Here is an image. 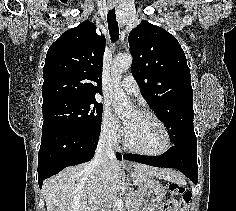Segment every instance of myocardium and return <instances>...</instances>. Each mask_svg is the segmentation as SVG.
<instances>
[{
  "mask_svg": "<svg viewBox=\"0 0 236 211\" xmlns=\"http://www.w3.org/2000/svg\"><path fill=\"white\" fill-rule=\"evenodd\" d=\"M136 112L143 115V116L151 118L153 121H155L161 127V129L163 130V133L165 135V145L158 152H147V151L139 150V149L133 147L129 143V141L127 140V136H126V130L124 128L123 140H122L123 147L135 154H139V155H143V156L158 157V156L165 155L170 150L171 145H172L170 132H169L167 126L165 125V123L161 119H159L154 113H152L148 110H138Z\"/></svg>",
  "mask_w": 236,
  "mask_h": 211,
  "instance_id": "myocardium-1",
  "label": "myocardium"
}]
</instances>
